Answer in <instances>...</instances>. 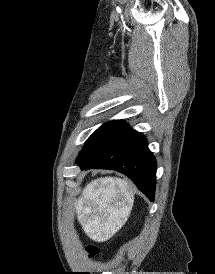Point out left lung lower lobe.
<instances>
[{"label":"left lung lower lobe","mask_w":215,"mask_h":274,"mask_svg":"<svg viewBox=\"0 0 215 274\" xmlns=\"http://www.w3.org/2000/svg\"><path fill=\"white\" fill-rule=\"evenodd\" d=\"M81 169L116 170L128 176L151 201L154 200L157 164L145 137L122 124L81 161Z\"/></svg>","instance_id":"obj_1"}]
</instances>
